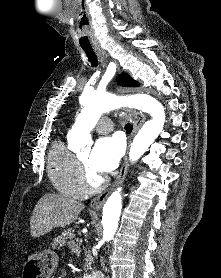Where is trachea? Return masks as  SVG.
I'll use <instances>...</instances> for the list:
<instances>
[{
	"mask_svg": "<svg viewBox=\"0 0 221 278\" xmlns=\"http://www.w3.org/2000/svg\"><path fill=\"white\" fill-rule=\"evenodd\" d=\"M83 50L86 53V55L88 57V60L91 63V65L96 68L97 65H98V61H97V57L95 55L94 50L92 48H83ZM132 129H133V126L131 124L127 123L125 125V130H126L127 133H131Z\"/></svg>",
	"mask_w": 221,
	"mask_h": 278,
	"instance_id": "obj_1",
	"label": "trachea"
}]
</instances>
